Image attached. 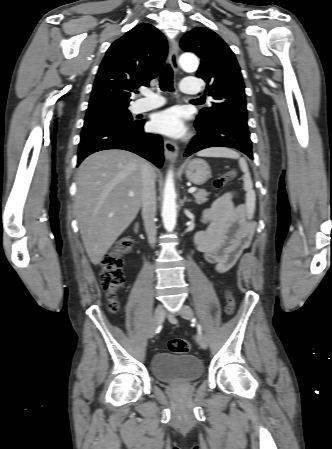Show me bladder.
Returning a JSON list of instances; mask_svg holds the SVG:
<instances>
[{
  "instance_id": "1",
  "label": "bladder",
  "mask_w": 332,
  "mask_h": 449,
  "mask_svg": "<svg viewBox=\"0 0 332 449\" xmlns=\"http://www.w3.org/2000/svg\"><path fill=\"white\" fill-rule=\"evenodd\" d=\"M151 372L160 382H192L204 372L202 362L189 354L158 353L151 360Z\"/></svg>"
}]
</instances>
